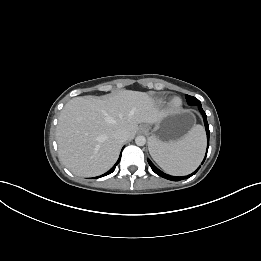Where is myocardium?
Instances as JSON below:
<instances>
[{"mask_svg": "<svg viewBox=\"0 0 261 261\" xmlns=\"http://www.w3.org/2000/svg\"><path fill=\"white\" fill-rule=\"evenodd\" d=\"M183 105L180 97L174 96L170 99L168 106L172 111H178Z\"/></svg>", "mask_w": 261, "mask_h": 261, "instance_id": "obj_1", "label": "myocardium"}]
</instances>
